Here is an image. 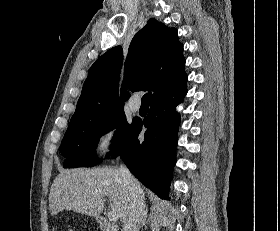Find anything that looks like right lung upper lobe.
I'll return each instance as SVG.
<instances>
[{
    "mask_svg": "<svg viewBox=\"0 0 280 231\" xmlns=\"http://www.w3.org/2000/svg\"><path fill=\"white\" fill-rule=\"evenodd\" d=\"M183 45L177 30L154 18L132 39L124 66L121 46L111 48L91 66L71 122L101 119L123 111V102L134 91H153L152 100L173 92L187 81Z\"/></svg>",
    "mask_w": 280,
    "mask_h": 231,
    "instance_id": "obj_1",
    "label": "right lung upper lobe"
}]
</instances>
